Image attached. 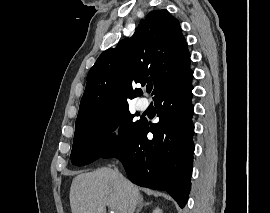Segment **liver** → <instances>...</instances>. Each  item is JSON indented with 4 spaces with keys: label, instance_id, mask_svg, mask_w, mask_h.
Returning <instances> with one entry per match:
<instances>
[{
    "label": "liver",
    "instance_id": "6515ba94",
    "mask_svg": "<svg viewBox=\"0 0 270 213\" xmlns=\"http://www.w3.org/2000/svg\"><path fill=\"white\" fill-rule=\"evenodd\" d=\"M69 198L72 213H106V207L116 213H134L143 200L137 186L107 167L77 175Z\"/></svg>",
    "mask_w": 270,
    "mask_h": 213
}]
</instances>
